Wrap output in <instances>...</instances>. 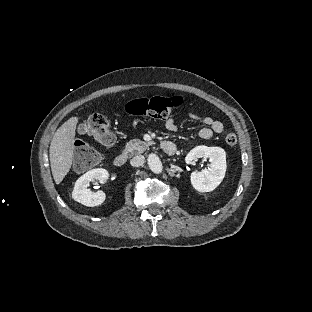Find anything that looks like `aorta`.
Listing matches in <instances>:
<instances>
[{
    "instance_id": "1",
    "label": "aorta",
    "mask_w": 312,
    "mask_h": 312,
    "mask_svg": "<svg viewBox=\"0 0 312 312\" xmlns=\"http://www.w3.org/2000/svg\"><path fill=\"white\" fill-rule=\"evenodd\" d=\"M148 165L152 172L160 173L162 172V162L160 161L159 157L155 154H150L148 157Z\"/></svg>"
}]
</instances>
